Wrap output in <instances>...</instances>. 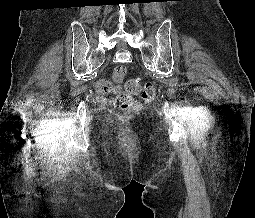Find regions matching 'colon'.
<instances>
[{
	"instance_id": "5ec220e1",
	"label": "colon",
	"mask_w": 255,
	"mask_h": 218,
	"mask_svg": "<svg viewBox=\"0 0 255 218\" xmlns=\"http://www.w3.org/2000/svg\"><path fill=\"white\" fill-rule=\"evenodd\" d=\"M126 67L119 65L114 70V79L120 81L126 74ZM98 90L101 94L115 93V106L125 112L138 110L139 105L135 96L140 94L146 101H153L156 97L155 86L151 82H142L139 78H131L125 84L122 91L110 81H100Z\"/></svg>"
}]
</instances>
